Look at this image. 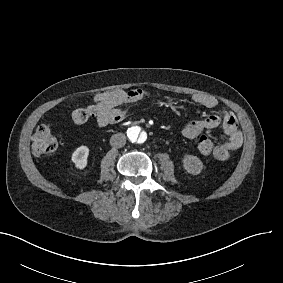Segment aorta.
Here are the masks:
<instances>
[{
	"instance_id": "762f6f07",
	"label": "aorta",
	"mask_w": 283,
	"mask_h": 283,
	"mask_svg": "<svg viewBox=\"0 0 283 283\" xmlns=\"http://www.w3.org/2000/svg\"><path fill=\"white\" fill-rule=\"evenodd\" d=\"M127 136L133 143L142 144L147 140V132L140 126H132L127 130Z\"/></svg>"
}]
</instances>
